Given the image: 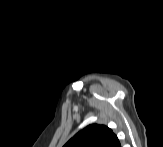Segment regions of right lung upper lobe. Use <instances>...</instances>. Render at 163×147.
Instances as JSON below:
<instances>
[{"instance_id": "cb5924a9", "label": "right lung upper lobe", "mask_w": 163, "mask_h": 147, "mask_svg": "<svg viewBox=\"0 0 163 147\" xmlns=\"http://www.w3.org/2000/svg\"><path fill=\"white\" fill-rule=\"evenodd\" d=\"M119 144L110 128L92 124L78 132L64 147H117Z\"/></svg>"}]
</instances>
